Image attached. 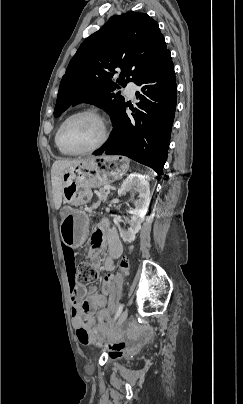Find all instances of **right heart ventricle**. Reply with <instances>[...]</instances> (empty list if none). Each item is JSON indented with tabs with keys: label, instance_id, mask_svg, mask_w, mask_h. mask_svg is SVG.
Instances as JSON below:
<instances>
[{
	"label": "right heart ventricle",
	"instance_id": "right-heart-ventricle-1",
	"mask_svg": "<svg viewBox=\"0 0 243 404\" xmlns=\"http://www.w3.org/2000/svg\"><path fill=\"white\" fill-rule=\"evenodd\" d=\"M54 143H55V146L58 149L60 154L65 155V156H75V155H77V153L66 149L64 146H62L60 144L59 139H58V129L56 130L55 135H54Z\"/></svg>",
	"mask_w": 243,
	"mask_h": 404
}]
</instances>
